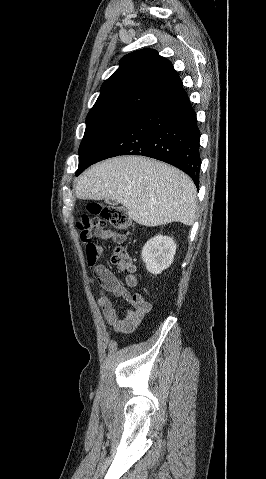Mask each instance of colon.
Listing matches in <instances>:
<instances>
[{
    "label": "colon",
    "instance_id": "5ec220e1",
    "mask_svg": "<svg viewBox=\"0 0 266 479\" xmlns=\"http://www.w3.org/2000/svg\"><path fill=\"white\" fill-rule=\"evenodd\" d=\"M87 211L88 214L79 218L78 228L85 243L87 262L92 265L103 253V249L91 240L94 235L110 226L115 229L114 232L126 236L129 233V218L121 207L105 206L96 202L89 203ZM112 261L121 270L133 271L132 260L125 246L115 250Z\"/></svg>",
    "mask_w": 266,
    "mask_h": 479
}]
</instances>
